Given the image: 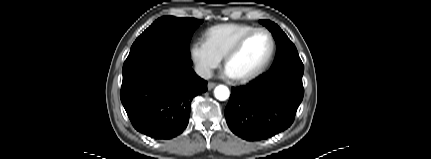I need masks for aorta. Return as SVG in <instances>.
<instances>
[{
  "label": "aorta",
  "mask_w": 431,
  "mask_h": 159,
  "mask_svg": "<svg viewBox=\"0 0 431 159\" xmlns=\"http://www.w3.org/2000/svg\"><path fill=\"white\" fill-rule=\"evenodd\" d=\"M214 95L218 100L224 101V100H227L229 98L230 91H229L228 87H226L224 85H219L215 88Z\"/></svg>",
  "instance_id": "1"
}]
</instances>
